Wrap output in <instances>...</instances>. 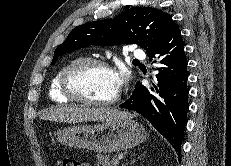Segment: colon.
I'll return each instance as SVG.
<instances>
[{"label":"colon","instance_id":"colon-1","mask_svg":"<svg viewBox=\"0 0 231 166\" xmlns=\"http://www.w3.org/2000/svg\"><path fill=\"white\" fill-rule=\"evenodd\" d=\"M59 166H84V164L71 159H61L59 161Z\"/></svg>","mask_w":231,"mask_h":166}]
</instances>
